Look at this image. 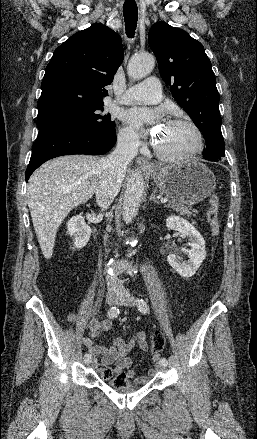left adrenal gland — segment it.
<instances>
[{"label":"left adrenal gland","mask_w":257,"mask_h":439,"mask_svg":"<svg viewBox=\"0 0 257 439\" xmlns=\"http://www.w3.org/2000/svg\"><path fill=\"white\" fill-rule=\"evenodd\" d=\"M156 192H157V190L155 189V190L153 191V193L151 194L149 200H150V201H154V202L157 203V204H160V202L158 201V199H157L156 196H155Z\"/></svg>","instance_id":"left-adrenal-gland-1"}]
</instances>
